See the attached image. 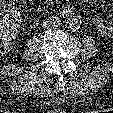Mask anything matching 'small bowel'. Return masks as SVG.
Instances as JSON below:
<instances>
[{"label": "small bowel", "mask_w": 113, "mask_h": 113, "mask_svg": "<svg viewBox=\"0 0 113 113\" xmlns=\"http://www.w3.org/2000/svg\"><path fill=\"white\" fill-rule=\"evenodd\" d=\"M15 17L18 20L20 18V13L15 14ZM94 25L102 35L113 38V25L112 24H106L101 19L95 18Z\"/></svg>", "instance_id": "obj_1"}]
</instances>
